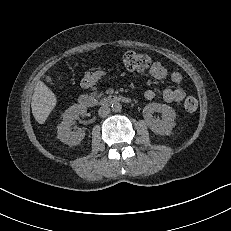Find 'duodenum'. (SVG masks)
Listing matches in <instances>:
<instances>
[{
    "label": "duodenum",
    "instance_id": "duodenum-1",
    "mask_svg": "<svg viewBox=\"0 0 231 231\" xmlns=\"http://www.w3.org/2000/svg\"><path fill=\"white\" fill-rule=\"evenodd\" d=\"M116 102L130 103L131 99L124 95H115V94L108 95L104 97L103 99H101L100 101H98L96 98L88 94L80 95L78 98L79 105L83 107H93L97 105L98 103L102 105H109V104H113Z\"/></svg>",
    "mask_w": 231,
    "mask_h": 231
}]
</instances>
